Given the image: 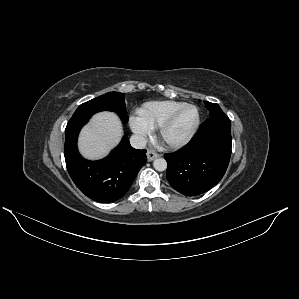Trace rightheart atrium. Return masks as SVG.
Masks as SVG:
<instances>
[{"label":"right heart atrium","mask_w":299,"mask_h":299,"mask_svg":"<svg viewBox=\"0 0 299 299\" xmlns=\"http://www.w3.org/2000/svg\"><path fill=\"white\" fill-rule=\"evenodd\" d=\"M129 125L132 132L141 140L150 135L151 129L139 118L132 115L129 118Z\"/></svg>","instance_id":"right-heart-atrium-1"}]
</instances>
